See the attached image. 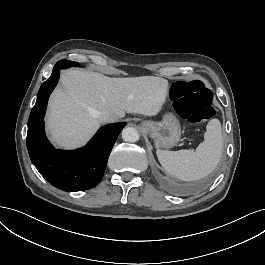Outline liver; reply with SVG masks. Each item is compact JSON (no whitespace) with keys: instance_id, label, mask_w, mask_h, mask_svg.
Segmentation results:
<instances>
[{"instance_id":"1","label":"liver","mask_w":265,"mask_h":265,"mask_svg":"<svg viewBox=\"0 0 265 265\" xmlns=\"http://www.w3.org/2000/svg\"><path fill=\"white\" fill-rule=\"evenodd\" d=\"M60 81L50 97L46 123L52 141L67 149L88 141L102 113L115 119L125 112L154 116L169 92L161 77L111 78L79 68L64 70Z\"/></svg>"}]
</instances>
